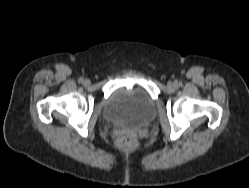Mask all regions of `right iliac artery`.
Wrapping results in <instances>:
<instances>
[{
	"label": "right iliac artery",
	"mask_w": 249,
	"mask_h": 188,
	"mask_svg": "<svg viewBox=\"0 0 249 188\" xmlns=\"http://www.w3.org/2000/svg\"><path fill=\"white\" fill-rule=\"evenodd\" d=\"M83 81H84V79L82 77L78 79L79 83H83Z\"/></svg>",
	"instance_id": "82829eb1"
}]
</instances>
